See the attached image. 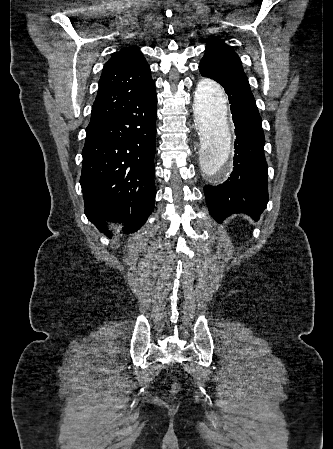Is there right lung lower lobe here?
Instances as JSON below:
<instances>
[{"label":"right lung lower lobe","mask_w":333,"mask_h":449,"mask_svg":"<svg viewBox=\"0 0 333 449\" xmlns=\"http://www.w3.org/2000/svg\"><path fill=\"white\" fill-rule=\"evenodd\" d=\"M156 106L154 87L86 128L80 184L85 215L101 231L110 220L134 232L154 208Z\"/></svg>","instance_id":"98d812e1"}]
</instances>
